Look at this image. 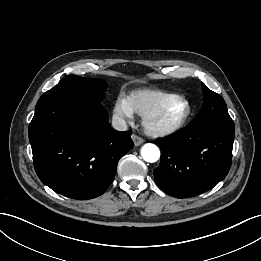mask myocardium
Here are the masks:
<instances>
[{"label": "myocardium", "mask_w": 261, "mask_h": 261, "mask_svg": "<svg viewBox=\"0 0 261 261\" xmlns=\"http://www.w3.org/2000/svg\"><path fill=\"white\" fill-rule=\"evenodd\" d=\"M179 102L184 105L183 113L174 121L164 123L161 117L167 107L173 103ZM191 114V105L187 99L179 95H171L162 101L154 109L150 110L142 117V126L146 133L152 136H167L175 133L183 127Z\"/></svg>", "instance_id": "1"}]
</instances>
